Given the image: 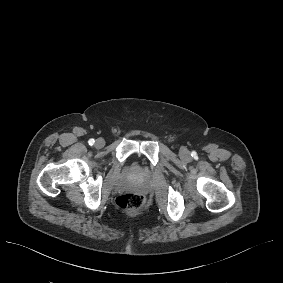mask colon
I'll use <instances>...</instances> for the list:
<instances>
[{
	"mask_svg": "<svg viewBox=\"0 0 283 283\" xmlns=\"http://www.w3.org/2000/svg\"><path fill=\"white\" fill-rule=\"evenodd\" d=\"M116 204L123 210L135 212L142 209L144 198L138 193H127L117 197Z\"/></svg>",
	"mask_w": 283,
	"mask_h": 283,
	"instance_id": "obj_1",
	"label": "colon"
}]
</instances>
